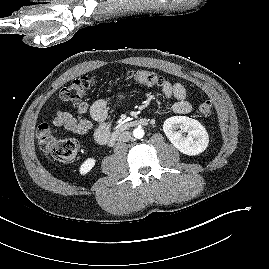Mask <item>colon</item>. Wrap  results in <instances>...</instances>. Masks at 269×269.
<instances>
[{
    "label": "colon",
    "mask_w": 269,
    "mask_h": 269,
    "mask_svg": "<svg viewBox=\"0 0 269 269\" xmlns=\"http://www.w3.org/2000/svg\"><path fill=\"white\" fill-rule=\"evenodd\" d=\"M126 80L135 81L147 86H162L163 77L147 70H128L123 74ZM97 84V79L82 76L73 80L60 91V100L64 103H79L90 89ZM197 113L201 117H209L212 113V103L203 101L197 106ZM41 146L56 160L68 162L73 160L78 152V142L70 138H59L48 124H41L37 131Z\"/></svg>",
    "instance_id": "obj_1"
}]
</instances>
